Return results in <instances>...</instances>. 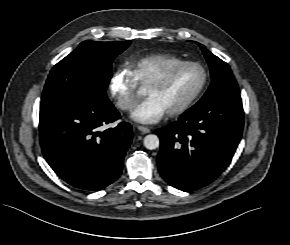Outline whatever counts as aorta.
<instances>
[{
    "mask_svg": "<svg viewBox=\"0 0 290 245\" xmlns=\"http://www.w3.org/2000/svg\"><path fill=\"white\" fill-rule=\"evenodd\" d=\"M160 141L157 135L149 134L144 138V146L149 150H154L159 147Z\"/></svg>",
    "mask_w": 290,
    "mask_h": 245,
    "instance_id": "1",
    "label": "aorta"
}]
</instances>
